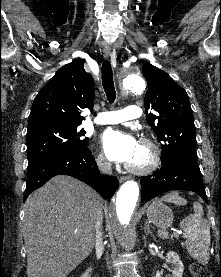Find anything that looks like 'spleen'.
Masks as SVG:
<instances>
[{
    "label": "spleen",
    "instance_id": "obj_1",
    "mask_svg": "<svg viewBox=\"0 0 221 277\" xmlns=\"http://www.w3.org/2000/svg\"><path fill=\"white\" fill-rule=\"evenodd\" d=\"M161 201L176 205L187 204V200L180 197L178 192H171L164 195L161 197ZM193 208L194 214L184 218L180 222V227L186 234V246L190 256L202 265H206L209 261L210 227L207 221L203 219L202 206L199 203H195ZM158 234L162 238L168 237V233L163 230H160Z\"/></svg>",
    "mask_w": 221,
    "mask_h": 277
}]
</instances>
